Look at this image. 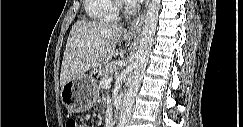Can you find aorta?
I'll list each match as a JSON object with an SVG mask.
<instances>
[{"label":"aorta","instance_id":"aorta-1","mask_svg":"<svg viewBox=\"0 0 243 127\" xmlns=\"http://www.w3.org/2000/svg\"><path fill=\"white\" fill-rule=\"evenodd\" d=\"M160 7L161 0L150 1L142 28L140 44L134 65V74L120 108L118 127H129L134 99L140 88L153 45Z\"/></svg>","mask_w":243,"mask_h":127}]
</instances>
